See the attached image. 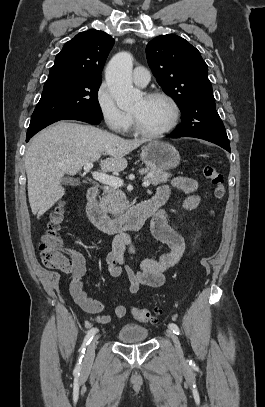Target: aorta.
Listing matches in <instances>:
<instances>
[{
    "instance_id": "1",
    "label": "aorta",
    "mask_w": 265,
    "mask_h": 407,
    "mask_svg": "<svg viewBox=\"0 0 265 407\" xmlns=\"http://www.w3.org/2000/svg\"><path fill=\"white\" fill-rule=\"evenodd\" d=\"M133 57L128 52L117 53L109 61L105 78L112 97L118 107H132L142 96L132 85Z\"/></svg>"
}]
</instances>
